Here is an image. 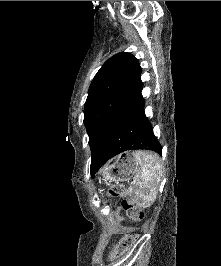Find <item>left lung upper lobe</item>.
<instances>
[{
	"instance_id": "left-lung-upper-lobe-1",
	"label": "left lung upper lobe",
	"mask_w": 221,
	"mask_h": 266,
	"mask_svg": "<svg viewBox=\"0 0 221 266\" xmlns=\"http://www.w3.org/2000/svg\"><path fill=\"white\" fill-rule=\"evenodd\" d=\"M142 68L130 53L108 59L91 82L84 108L92 158L122 104L142 85Z\"/></svg>"
}]
</instances>
